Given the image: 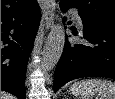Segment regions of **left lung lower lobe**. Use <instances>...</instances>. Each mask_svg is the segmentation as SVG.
Masks as SVG:
<instances>
[{"label":"left lung lower lobe","instance_id":"obj_1","mask_svg":"<svg viewBox=\"0 0 115 99\" xmlns=\"http://www.w3.org/2000/svg\"><path fill=\"white\" fill-rule=\"evenodd\" d=\"M63 11L67 6L60 5ZM66 20V17L63 19ZM83 22L85 42L65 41V47L56 66L54 91L70 80L82 77L115 79V30ZM74 35L77 32L73 31Z\"/></svg>","mask_w":115,"mask_h":99}]
</instances>
